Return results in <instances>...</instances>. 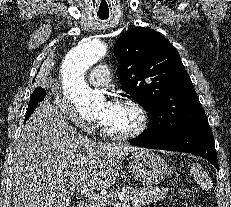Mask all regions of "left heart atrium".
<instances>
[{
	"label": "left heart atrium",
	"instance_id": "39dd6f15",
	"mask_svg": "<svg viewBox=\"0 0 231 207\" xmlns=\"http://www.w3.org/2000/svg\"><path fill=\"white\" fill-rule=\"evenodd\" d=\"M111 104H112V102H108V107H110V106H111Z\"/></svg>",
	"mask_w": 231,
	"mask_h": 207
}]
</instances>
